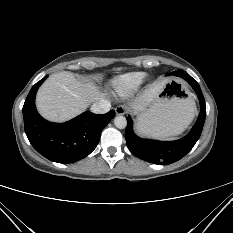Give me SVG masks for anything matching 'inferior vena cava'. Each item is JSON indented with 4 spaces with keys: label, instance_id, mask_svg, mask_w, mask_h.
<instances>
[{
    "label": "inferior vena cava",
    "instance_id": "602c4592",
    "mask_svg": "<svg viewBox=\"0 0 233 233\" xmlns=\"http://www.w3.org/2000/svg\"><path fill=\"white\" fill-rule=\"evenodd\" d=\"M110 109L111 103L106 99H101L97 102H94L91 106V111L95 114H104L109 112Z\"/></svg>",
    "mask_w": 233,
    "mask_h": 233
}]
</instances>
